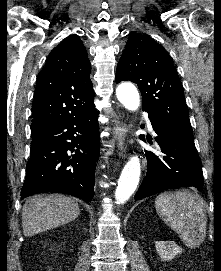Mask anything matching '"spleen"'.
<instances>
[{
  "mask_svg": "<svg viewBox=\"0 0 221 271\" xmlns=\"http://www.w3.org/2000/svg\"><path fill=\"white\" fill-rule=\"evenodd\" d=\"M156 211L191 249L204 241L207 215L199 195L191 191H164L156 199Z\"/></svg>",
  "mask_w": 221,
  "mask_h": 271,
  "instance_id": "obj_1",
  "label": "spleen"
}]
</instances>
